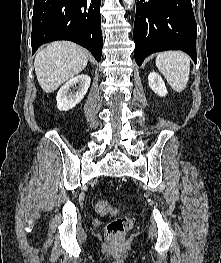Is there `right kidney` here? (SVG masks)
<instances>
[{
	"mask_svg": "<svg viewBox=\"0 0 221 263\" xmlns=\"http://www.w3.org/2000/svg\"><path fill=\"white\" fill-rule=\"evenodd\" d=\"M91 78L88 75H78L66 82L57 93V108L60 111H68L75 107L84 98L90 86ZM78 85V91L71 93L70 88Z\"/></svg>",
	"mask_w": 221,
	"mask_h": 263,
	"instance_id": "right-kidney-1",
	"label": "right kidney"
}]
</instances>
